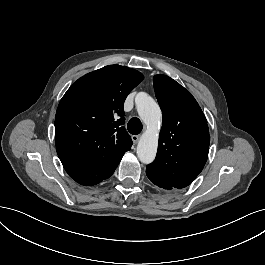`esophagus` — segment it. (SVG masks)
<instances>
[{"instance_id":"1","label":"esophagus","mask_w":265,"mask_h":265,"mask_svg":"<svg viewBox=\"0 0 265 265\" xmlns=\"http://www.w3.org/2000/svg\"><path fill=\"white\" fill-rule=\"evenodd\" d=\"M132 140H133V143H134V144H137L138 141H139V135H133V136H132Z\"/></svg>"}]
</instances>
